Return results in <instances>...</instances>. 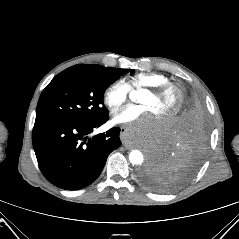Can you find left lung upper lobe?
<instances>
[{"label":"left lung upper lobe","instance_id":"obj_1","mask_svg":"<svg viewBox=\"0 0 239 239\" xmlns=\"http://www.w3.org/2000/svg\"><path fill=\"white\" fill-rule=\"evenodd\" d=\"M195 96H197V95H195ZM143 180L150 187H153V188L159 189V190H163L164 189L161 181L155 175L143 174Z\"/></svg>","mask_w":239,"mask_h":239}]
</instances>
